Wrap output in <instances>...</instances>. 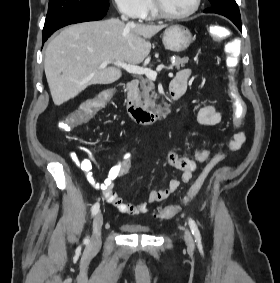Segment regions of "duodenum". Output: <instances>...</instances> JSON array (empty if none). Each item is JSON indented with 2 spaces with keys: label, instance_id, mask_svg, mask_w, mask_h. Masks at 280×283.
<instances>
[{
  "label": "duodenum",
  "instance_id": "410a0bca",
  "mask_svg": "<svg viewBox=\"0 0 280 283\" xmlns=\"http://www.w3.org/2000/svg\"><path fill=\"white\" fill-rule=\"evenodd\" d=\"M139 81L137 79H132L127 83L126 86V105L127 111L132 119L142 125H150L155 122L162 120L167 114V108L161 110H149L143 108L139 103L138 98ZM182 92L178 88L176 82H172L169 87L168 97L169 100L175 101L179 99Z\"/></svg>",
  "mask_w": 280,
  "mask_h": 283
}]
</instances>
